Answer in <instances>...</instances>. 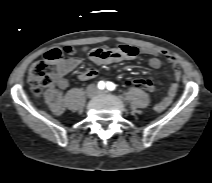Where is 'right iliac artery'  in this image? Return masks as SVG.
Returning <instances> with one entry per match:
<instances>
[{
	"instance_id": "1",
	"label": "right iliac artery",
	"mask_w": 212,
	"mask_h": 183,
	"mask_svg": "<svg viewBox=\"0 0 212 183\" xmlns=\"http://www.w3.org/2000/svg\"><path fill=\"white\" fill-rule=\"evenodd\" d=\"M98 88H99V89H104V88H105V82H104V81H100V82L98 83Z\"/></svg>"
}]
</instances>
